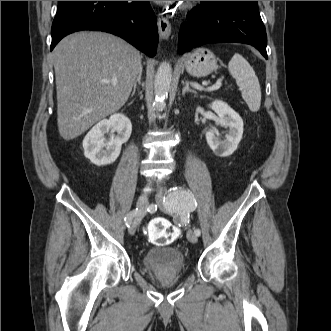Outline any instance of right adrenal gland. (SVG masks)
Masks as SVG:
<instances>
[{
	"mask_svg": "<svg viewBox=\"0 0 331 331\" xmlns=\"http://www.w3.org/2000/svg\"><path fill=\"white\" fill-rule=\"evenodd\" d=\"M141 75H142V70L139 72V75H138V77L136 78V80L134 82V86H133V91H132L131 97H133L134 94H135L137 83L138 84H141Z\"/></svg>",
	"mask_w": 331,
	"mask_h": 331,
	"instance_id": "right-adrenal-gland-1",
	"label": "right adrenal gland"
}]
</instances>
